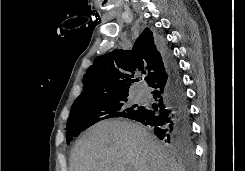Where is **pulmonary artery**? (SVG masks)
<instances>
[{"instance_id":"pulmonary-artery-1","label":"pulmonary artery","mask_w":245,"mask_h":171,"mask_svg":"<svg viewBox=\"0 0 245 171\" xmlns=\"http://www.w3.org/2000/svg\"><path fill=\"white\" fill-rule=\"evenodd\" d=\"M140 95H144V92L143 91H140Z\"/></svg>"}]
</instances>
